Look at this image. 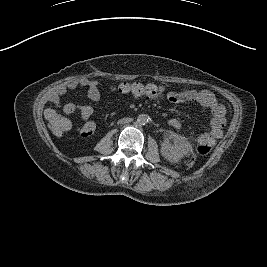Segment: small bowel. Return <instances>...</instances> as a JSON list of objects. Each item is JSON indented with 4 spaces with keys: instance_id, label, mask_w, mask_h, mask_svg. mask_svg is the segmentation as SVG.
I'll return each instance as SVG.
<instances>
[{
    "instance_id": "1",
    "label": "small bowel",
    "mask_w": 267,
    "mask_h": 267,
    "mask_svg": "<svg viewBox=\"0 0 267 267\" xmlns=\"http://www.w3.org/2000/svg\"><path fill=\"white\" fill-rule=\"evenodd\" d=\"M79 87L85 88L87 90V97L91 101H98L101 97L99 83L95 80H90L87 78H82L78 81L71 82L66 86V88L57 94L53 101L58 103L60 96L68 91H73ZM168 101L175 104L180 103H195L202 107L209 109L211 112V118L208 122L210 131L204 132L207 135L211 143L222 137L223 128L226 123L225 106L216 98V96L208 90H195L187 89L182 91H171L167 97ZM63 111L67 114L77 112L84 122L80 127V132L83 135H91L96 129V124L91 121L93 115V108L89 105H77L74 103H67L63 107ZM54 112L53 110H48L47 114ZM169 125L175 129H180L182 127V122L177 118H171L168 121Z\"/></svg>"
}]
</instances>
